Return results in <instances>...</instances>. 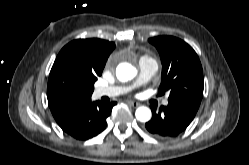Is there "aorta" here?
I'll return each instance as SVG.
<instances>
[{
	"instance_id": "762f6f07",
	"label": "aorta",
	"mask_w": 249,
	"mask_h": 165,
	"mask_svg": "<svg viewBox=\"0 0 249 165\" xmlns=\"http://www.w3.org/2000/svg\"><path fill=\"white\" fill-rule=\"evenodd\" d=\"M136 74L137 71L135 67L129 63H122L116 69V76L122 82H126L133 79ZM135 116L138 121L147 122L151 118V110L148 107H139L135 112Z\"/></svg>"
}]
</instances>
